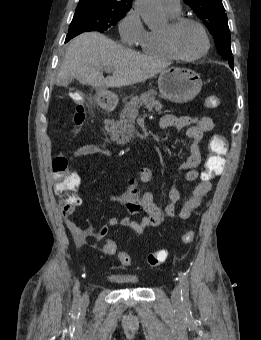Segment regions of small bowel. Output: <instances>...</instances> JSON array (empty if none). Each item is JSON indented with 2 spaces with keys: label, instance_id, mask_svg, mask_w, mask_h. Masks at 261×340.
<instances>
[{
  "label": "small bowel",
  "instance_id": "1",
  "mask_svg": "<svg viewBox=\"0 0 261 340\" xmlns=\"http://www.w3.org/2000/svg\"><path fill=\"white\" fill-rule=\"evenodd\" d=\"M160 127L162 129L175 128L176 130L187 128L186 135L192 140L190 154L178 165V170L183 172L187 182L201 179V174L198 171V167L202 161L199 143L203 136L214 128L212 118L205 115L181 117L165 115L160 120ZM91 155L111 157L112 152L105 145L96 144L83 145L73 152L74 158ZM152 175V170L146 167L139 171V179L144 183L149 182ZM76 176L80 182L79 176ZM211 187V182H205L201 179V182L197 184L189 197L184 201L178 213L179 217L184 220L190 218L192 213L200 206L203 197L211 190ZM114 200L124 205L130 214L144 213L145 216L140 219H133L129 216L121 219L111 217L107 223L101 226L94 234L82 230L69 216H65V225L72 234L77 246L84 247L87 245L89 236H93L99 240L103 239L107 235L108 230L116 226L130 228L139 234L144 233L148 228L159 226L165 219H171L176 216L177 206L181 201V193L177 189L170 190L168 203L164 208H161L154 203L153 195L150 192H140L136 182L130 179L125 190L116 196Z\"/></svg>",
  "mask_w": 261,
  "mask_h": 340
}]
</instances>
